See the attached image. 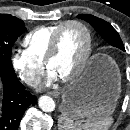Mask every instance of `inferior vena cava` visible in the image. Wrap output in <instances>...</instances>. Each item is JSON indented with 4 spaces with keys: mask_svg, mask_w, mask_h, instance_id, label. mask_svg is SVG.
Wrapping results in <instances>:
<instances>
[{
    "mask_svg": "<svg viewBox=\"0 0 130 130\" xmlns=\"http://www.w3.org/2000/svg\"><path fill=\"white\" fill-rule=\"evenodd\" d=\"M41 82L40 77L36 76V77H30L26 79V83L31 85V86H38Z\"/></svg>",
    "mask_w": 130,
    "mask_h": 130,
    "instance_id": "obj_1",
    "label": "inferior vena cava"
}]
</instances>
